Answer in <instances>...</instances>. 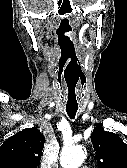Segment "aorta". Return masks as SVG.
Listing matches in <instances>:
<instances>
[{"label":"aorta","instance_id":"obj_1","mask_svg":"<svg viewBox=\"0 0 127 168\" xmlns=\"http://www.w3.org/2000/svg\"><path fill=\"white\" fill-rule=\"evenodd\" d=\"M85 159V153L80 146H70L61 152L60 163L63 168H78Z\"/></svg>","mask_w":127,"mask_h":168}]
</instances>
